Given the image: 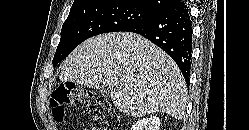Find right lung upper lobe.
<instances>
[{"label":"right lung upper lobe","instance_id":"cb5924a9","mask_svg":"<svg viewBox=\"0 0 249 130\" xmlns=\"http://www.w3.org/2000/svg\"><path fill=\"white\" fill-rule=\"evenodd\" d=\"M95 1H101V0H75L72 8L92 3ZM117 1H126L138 7L153 11L155 13H159L177 2V0H117Z\"/></svg>","mask_w":249,"mask_h":130}]
</instances>
